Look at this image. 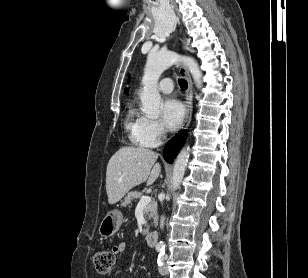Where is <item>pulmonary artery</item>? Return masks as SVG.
I'll list each match as a JSON object with an SVG mask.
<instances>
[{"mask_svg": "<svg viewBox=\"0 0 308 278\" xmlns=\"http://www.w3.org/2000/svg\"><path fill=\"white\" fill-rule=\"evenodd\" d=\"M158 89L160 92L168 94L171 93L173 90V82L170 78H165L163 79L159 85H158Z\"/></svg>", "mask_w": 308, "mask_h": 278, "instance_id": "1", "label": "pulmonary artery"}]
</instances>
